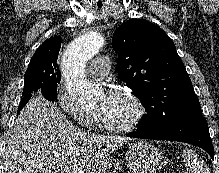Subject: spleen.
I'll use <instances>...</instances> for the list:
<instances>
[{
	"label": "spleen",
	"instance_id": "3e777b00",
	"mask_svg": "<svg viewBox=\"0 0 219 173\" xmlns=\"http://www.w3.org/2000/svg\"><path fill=\"white\" fill-rule=\"evenodd\" d=\"M183 156L186 166L192 173H206V169L203 168V164L198 161L197 155L193 150H185Z\"/></svg>",
	"mask_w": 219,
	"mask_h": 173
}]
</instances>
